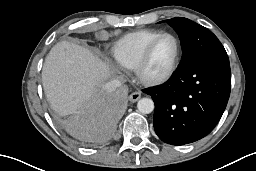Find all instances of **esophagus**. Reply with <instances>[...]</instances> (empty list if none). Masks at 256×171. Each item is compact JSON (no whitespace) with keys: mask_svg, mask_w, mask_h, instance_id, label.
Masks as SVG:
<instances>
[{"mask_svg":"<svg viewBox=\"0 0 256 171\" xmlns=\"http://www.w3.org/2000/svg\"><path fill=\"white\" fill-rule=\"evenodd\" d=\"M141 97V93L140 92H133L129 95V100L130 102L134 103L136 101H138Z\"/></svg>","mask_w":256,"mask_h":171,"instance_id":"1","label":"esophagus"}]
</instances>
